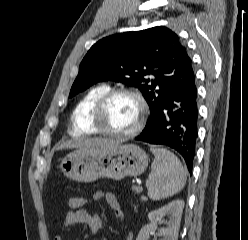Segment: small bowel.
I'll use <instances>...</instances> for the list:
<instances>
[{"label": "small bowel", "instance_id": "c3829d8e", "mask_svg": "<svg viewBox=\"0 0 248 240\" xmlns=\"http://www.w3.org/2000/svg\"><path fill=\"white\" fill-rule=\"evenodd\" d=\"M93 199L96 201L105 200L110 207L114 210L115 217L119 221L125 220V213L122 210L120 203L118 202L116 196L111 192L96 191L93 194ZM75 224H82L86 227V232L83 236L87 238L90 233H98L102 229L101 218L88 210L80 209L74 212H68L64 222L63 230H68ZM54 240H63L60 235L55 236ZM126 240H133V233L130 229L126 231Z\"/></svg>", "mask_w": 248, "mask_h": 240}]
</instances>
